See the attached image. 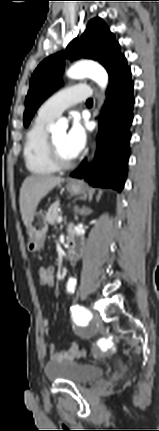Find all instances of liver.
Segmentation results:
<instances>
[{"mask_svg":"<svg viewBox=\"0 0 159 431\" xmlns=\"http://www.w3.org/2000/svg\"><path fill=\"white\" fill-rule=\"evenodd\" d=\"M64 182V178L52 175H32L28 176L20 189V212L26 227L41 201L58 184Z\"/></svg>","mask_w":159,"mask_h":431,"instance_id":"1","label":"liver"}]
</instances>
